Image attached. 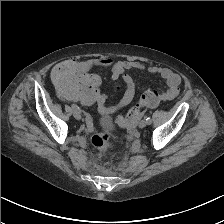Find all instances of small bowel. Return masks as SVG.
<instances>
[{"instance_id":"c3829d8e","label":"small bowel","mask_w":224,"mask_h":224,"mask_svg":"<svg viewBox=\"0 0 224 224\" xmlns=\"http://www.w3.org/2000/svg\"><path fill=\"white\" fill-rule=\"evenodd\" d=\"M86 70L97 67H107L112 71V78L117 79L123 77L125 82V92L120 100L119 107L128 105L134 98L136 92V83L131 75L126 72L129 70L147 71L152 74L159 75L166 83L167 89L162 93V100H172L179 93L181 79L178 74L166 67L148 66L130 60H115L112 58H92L82 63Z\"/></svg>"}]
</instances>
